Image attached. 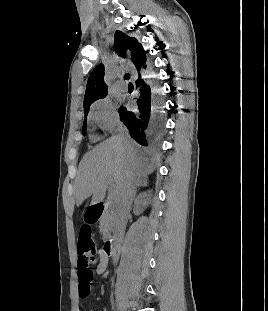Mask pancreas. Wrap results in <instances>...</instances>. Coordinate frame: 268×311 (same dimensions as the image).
Returning <instances> with one entry per match:
<instances>
[{"label":"pancreas","mask_w":268,"mask_h":311,"mask_svg":"<svg viewBox=\"0 0 268 311\" xmlns=\"http://www.w3.org/2000/svg\"><path fill=\"white\" fill-rule=\"evenodd\" d=\"M114 221V214L106 211L100 219V232L103 234V239H107L110 236Z\"/></svg>","instance_id":"1"}]
</instances>
